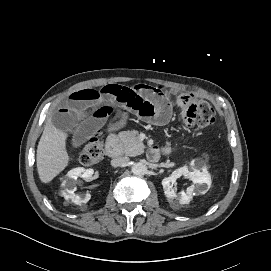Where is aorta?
I'll return each instance as SVG.
<instances>
[{"label":"aorta","instance_id":"762f6f07","mask_svg":"<svg viewBox=\"0 0 271 271\" xmlns=\"http://www.w3.org/2000/svg\"><path fill=\"white\" fill-rule=\"evenodd\" d=\"M146 170V166L141 162L133 164L131 168L132 173L136 176L144 175L146 173Z\"/></svg>","mask_w":271,"mask_h":271}]
</instances>
